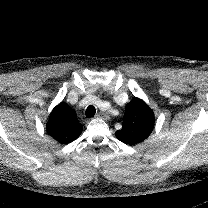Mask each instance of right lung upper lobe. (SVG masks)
<instances>
[{
    "mask_svg": "<svg viewBox=\"0 0 208 208\" xmlns=\"http://www.w3.org/2000/svg\"><path fill=\"white\" fill-rule=\"evenodd\" d=\"M46 129L49 135L59 143L68 144L80 136L83 127L75 111L66 103L61 102L52 110Z\"/></svg>",
    "mask_w": 208,
    "mask_h": 208,
    "instance_id": "1",
    "label": "right lung upper lobe"
}]
</instances>
